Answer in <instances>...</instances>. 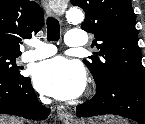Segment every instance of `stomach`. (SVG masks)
I'll return each mask as SVG.
<instances>
[{
    "mask_svg": "<svg viewBox=\"0 0 145 124\" xmlns=\"http://www.w3.org/2000/svg\"><path fill=\"white\" fill-rule=\"evenodd\" d=\"M80 124H125L123 119L114 116L99 117L96 119H91L90 121H83Z\"/></svg>",
    "mask_w": 145,
    "mask_h": 124,
    "instance_id": "0dacf381",
    "label": "stomach"
}]
</instances>
